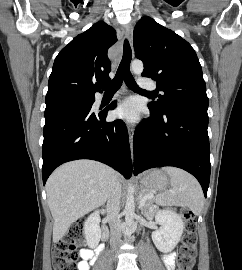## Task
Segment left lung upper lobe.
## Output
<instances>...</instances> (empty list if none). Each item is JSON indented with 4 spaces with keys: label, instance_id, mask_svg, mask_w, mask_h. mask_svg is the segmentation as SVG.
<instances>
[{
    "label": "left lung upper lobe",
    "instance_id": "left-lung-upper-lobe-1",
    "mask_svg": "<svg viewBox=\"0 0 242 270\" xmlns=\"http://www.w3.org/2000/svg\"><path fill=\"white\" fill-rule=\"evenodd\" d=\"M133 42L136 57L144 63L142 76L156 80L164 92L148 106L157 113L183 106L208 107L202 68L187 41L145 16L134 28Z\"/></svg>",
    "mask_w": 242,
    "mask_h": 270
}]
</instances>
